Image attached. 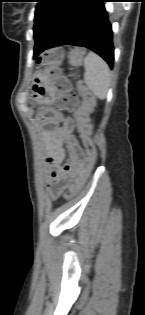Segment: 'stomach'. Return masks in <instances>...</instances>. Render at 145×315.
I'll return each instance as SVG.
<instances>
[{
	"label": "stomach",
	"instance_id": "0dacf381",
	"mask_svg": "<svg viewBox=\"0 0 145 315\" xmlns=\"http://www.w3.org/2000/svg\"><path fill=\"white\" fill-rule=\"evenodd\" d=\"M50 72H35L34 84L31 87V98L40 105H36L34 116L37 122H50V116H57V109H48L53 102V84H49Z\"/></svg>",
	"mask_w": 145,
	"mask_h": 315
}]
</instances>
